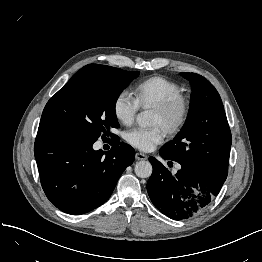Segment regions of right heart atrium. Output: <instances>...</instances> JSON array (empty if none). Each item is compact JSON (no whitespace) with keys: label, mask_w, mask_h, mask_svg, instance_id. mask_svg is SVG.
<instances>
[{"label":"right heart atrium","mask_w":262,"mask_h":262,"mask_svg":"<svg viewBox=\"0 0 262 262\" xmlns=\"http://www.w3.org/2000/svg\"><path fill=\"white\" fill-rule=\"evenodd\" d=\"M140 106L134 96L127 91H122L116 97L113 105L114 115L117 120L125 125H129L135 119Z\"/></svg>","instance_id":"d8ad5b80"}]
</instances>
